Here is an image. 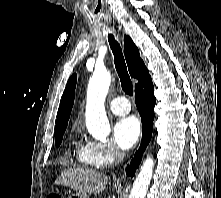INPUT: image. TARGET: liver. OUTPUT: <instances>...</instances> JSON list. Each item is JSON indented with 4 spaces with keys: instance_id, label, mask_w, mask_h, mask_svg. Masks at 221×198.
<instances>
[{
    "instance_id": "6515ba94",
    "label": "liver",
    "mask_w": 221,
    "mask_h": 198,
    "mask_svg": "<svg viewBox=\"0 0 221 198\" xmlns=\"http://www.w3.org/2000/svg\"><path fill=\"white\" fill-rule=\"evenodd\" d=\"M107 182L106 173L96 170L70 168L61 173L56 184L71 187L80 193L99 194L105 189Z\"/></svg>"
}]
</instances>
